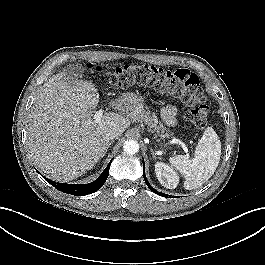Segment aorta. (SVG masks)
Segmentation results:
<instances>
[{
  "mask_svg": "<svg viewBox=\"0 0 265 265\" xmlns=\"http://www.w3.org/2000/svg\"><path fill=\"white\" fill-rule=\"evenodd\" d=\"M123 150L127 154H135L139 151V144L135 140H128L123 145Z\"/></svg>",
  "mask_w": 265,
  "mask_h": 265,
  "instance_id": "762f6f07",
  "label": "aorta"
}]
</instances>
